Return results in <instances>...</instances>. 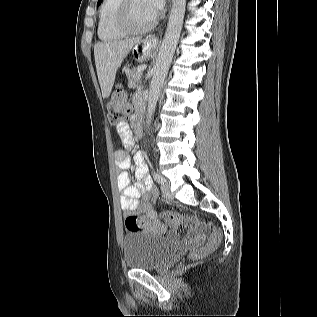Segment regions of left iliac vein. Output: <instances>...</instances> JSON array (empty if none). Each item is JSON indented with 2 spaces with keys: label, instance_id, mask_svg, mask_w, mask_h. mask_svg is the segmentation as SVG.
<instances>
[{
  "label": "left iliac vein",
  "instance_id": "1",
  "mask_svg": "<svg viewBox=\"0 0 317 317\" xmlns=\"http://www.w3.org/2000/svg\"><path fill=\"white\" fill-rule=\"evenodd\" d=\"M161 190L166 198L173 199V194L170 191V183L168 181L164 180L161 183Z\"/></svg>",
  "mask_w": 317,
  "mask_h": 317
}]
</instances>
